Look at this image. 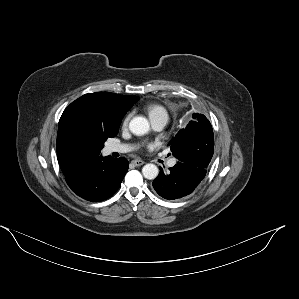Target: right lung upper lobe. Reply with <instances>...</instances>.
I'll return each instance as SVG.
<instances>
[{
	"instance_id": "obj_1",
	"label": "right lung upper lobe",
	"mask_w": 299,
	"mask_h": 299,
	"mask_svg": "<svg viewBox=\"0 0 299 299\" xmlns=\"http://www.w3.org/2000/svg\"><path fill=\"white\" fill-rule=\"evenodd\" d=\"M138 99L96 92L81 96L64 110L59 120L57 159L65 176L87 159L100 156L104 143L98 135L116 133L123 116Z\"/></svg>"
}]
</instances>
